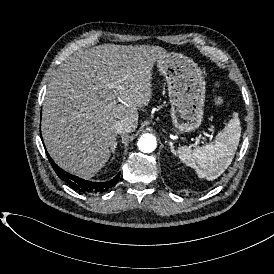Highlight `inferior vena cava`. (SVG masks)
Wrapping results in <instances>:
<instances>
[{
  "label": "inferior vena cava",
  "mask_w": 274,
  "mask_h": 274,
  "mask_svg": "<svg viewBox=\"0 0 274 274\" xmlns=\"http://www.w3.org/2000/svg\"><path fill=\"white\" fill-rule=\"evenodd\" d=\"M136 125H134L130 120L117 121L115 124V133L122 134L134 131Z\"/></svg>",
  "instance_id": "1"
}]
</instances>
